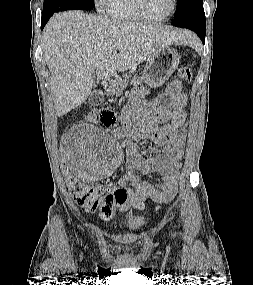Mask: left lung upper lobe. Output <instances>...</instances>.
I'll return each mask as SVG.
<instances>
[{"mask_svg": "<svg viewBox=\"0 0 253 285\" xmlns=\"http://www.w3.org/2000/svg\"><path fill=\"white\" fill-rule=\"evenodd\" d=\"M203 0H178L177 11L175 12L174 18L178 20L185 14L190 12L192 9L201 6Z\"/></svg>", "mask_w": 253, "mask_h": 285, "instance_id": "obj_1", "label": "left lung upper lobe"}]
</instances>
